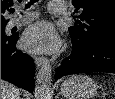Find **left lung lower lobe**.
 I'll use <instances>...</instances> for the list:
<instances>
[{
  "instance_id": "1",
  "label": "left lung lower lobe",
  "mask_w": 115,
  "mask_h": 99,
  "mask_svg": "<svg viewBox=\"0 0 115 99\" xmlns=\"http://www.w3.org/2000/svg\"><path fill=\"white\" fill-rule=\"evenodd\" d=\"M85 72L115 73V42H99L77 49L57 67L55 79Z\"/></svg>"
}]
</instances>
